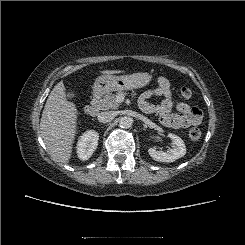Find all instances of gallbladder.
I'll return each mask as SVG.
<instances>
[{
	"label": "gallbladder",
	"instance_id": "obj_1",
	"mask_svg": "<svg viewBox=\"0 0 245 245\" xmlns=\"http://www.w3.org/2000/svg\"><path fill=\"white\" fill-rule=\"evenodd\" d=\"M67 96H68V98H73V97H75V92L71 90V91H69Z\"/></svg>",
	"mask_w": 245,
	"mask_h": 245
}]
</instances>
